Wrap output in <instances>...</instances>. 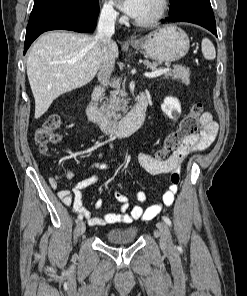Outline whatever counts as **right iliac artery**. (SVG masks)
<instances>
[{
	"instance_id": "obj_1",
	"label": "right iliac artery",
	"mask_w": 247,
	"mask_h": 296,
	"mask_svg": "<svg viewBox=\"0 0 247 296\" xmlns=\"http://www.w3.org/2000/svg\"><path fill=\"white\" fill-rule=\"evenodd\" d=\"M83 216L82 215H78V220H82Z\"/></svg>"
}]
</instances>
